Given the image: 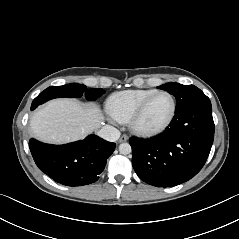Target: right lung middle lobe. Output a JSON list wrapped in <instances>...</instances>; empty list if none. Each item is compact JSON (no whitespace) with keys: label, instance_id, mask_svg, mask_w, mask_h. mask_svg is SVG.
Here are the masks:
<instances>
[{"label":"right lung middle lobe","instance_id":"dd1d6c3e","mask_svg":"<svg viewBox=\"0 0 239 239\" xmlns=\"http://www.w3.org/2000/svg\"><path fill=\"white\" fill-rule=\"evenodd\" d=\"M105 93L102 88L88 90L85 85L71 83L63 86H51L41 92L32 102L31 110L38 105L58 97L80 98L83 95L87 100H95Z\"/></svg>","mask_w":239,"mask_h":239}]
</instances>
